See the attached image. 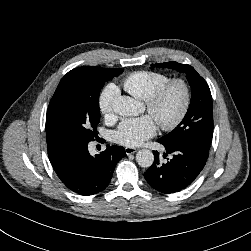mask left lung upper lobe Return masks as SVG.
<instances>
[{
  "label": "left lung upper lobe",
  "mask_w": 251,
  "mask_h": 251,
  "mask_svg": "<svg viewBox=\"0 0 251 251\" xmlns=\"http://www.w3.org/2000/svg\"><path fill=\"white\" fill-rule=\"evenodd\" d=\"M153 67L171 68L185 73L192 89L191 103L184 119L158 142L166 146L195 143L209 151L213 136V104L208 84L192 66L187 64L172 61L158 63Z\"/></svg>",
  "instance_id": "1"
}]
</instances>
